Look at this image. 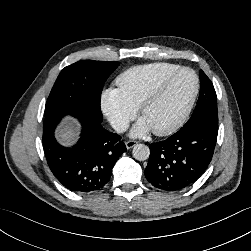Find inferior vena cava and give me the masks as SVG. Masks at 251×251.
Segmentation results:
<instances>
[{"label": "inferior vena cava", "mask_w": 251, "mask_h": 251, "mask_svg": "<svg viewBox=\"0 0 251 251\" xmlns=\"http://www.w3.org/2000/svg\"><path fill=\"white\" fill-rule=\"evenodd\" d=\"M111 126L116 132L123 133L128 129L129 123L126 120L115 119L111 122Z\"/></svg>", "instance_id": "1"}]
</instances>
